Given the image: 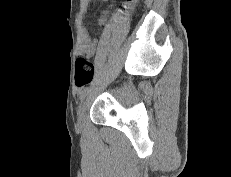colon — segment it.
Returning a JSON list of instances; mask_svg holds the SVG:
<instances>
[{"label":"colon","instance_id":"obj_1","mask_svg":"<svg viewBox=\"0 0 231 177\" xmlns=\"http://www.w3.org/2000/svg\"><path fill=\"white\" fill-rule=\"evenodd\" d=\"M94 78V65L87 57L80 55L75 64V82L78 87L89 84Z\"/></svg>","mask_w":231,"mask_h":177}]
</instances>
